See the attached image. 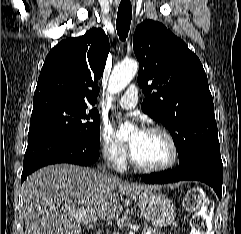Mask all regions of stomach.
Returning <instances> with one entry per match:
<instances>
[{
  "label": "stomach",
  "mask_w": 241,
  "mask_h": 234,
  "mask_svg": "<svg viewBox=\"0 0 241 234\" xmlns=\"http://www.w3.org/2000/svg\"><path fill=\"white\" fill-rule=\"evenodd\" d=\"M137 200L141 214L154 227H165L174 221L175 205L165 195L150 192L139 195Z\"/></svg>",
  "instance_id": "stomach-1"
}]
</instances>
